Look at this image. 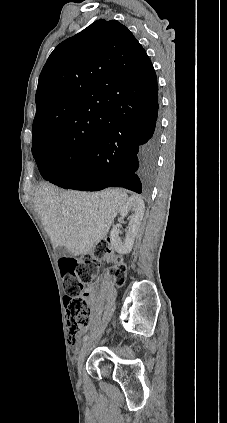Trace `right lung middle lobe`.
Listing matches in <instances>:
<instances>
[{"label":"right lung middle lobe","mask_w":227,"mask_h":423,"mask_svg":"<svg viewBox=\"0 0 227 423\" xmlns=\"http://www.w3.org/2000/svg\"><path fill=\"white\" fill-rule=\"evenodd\" d=\"M92 148V145L73 147L57 137L32 142V154L38 168L48 166L55 170L54 174L69 170L75 162L88 156Z\"/></svg>","instance_id":"dd1d6c3e"}]
</instances>
